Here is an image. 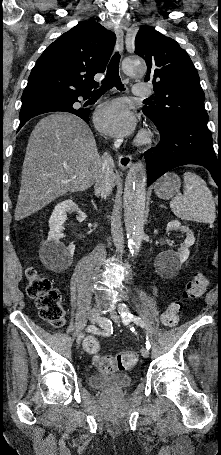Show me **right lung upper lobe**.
<instances>
[{
  "instance_id": "right-lung-upper-lobe-1",
  "label": "right lung upper lobe",
  "mask_w": 221,
  "mask_h": 455,
  "mask_svg": "<svg viewBox=\"0 0 221 455\" xmlns=\"http://www.w3.org/2000/svg\"><path fill=\"white\" fill-rule=\"evenodd\" d=\"M116 36L95 21L70 29L49 45L37 60L22 95V108L60 103L90 91L105 71Z\"/></svg>"
}]
</instances>
